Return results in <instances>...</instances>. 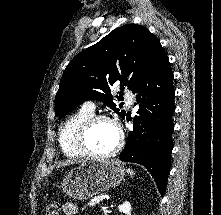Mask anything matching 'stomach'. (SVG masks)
<instances>
[{
	"label": "stomach",
	"instance_id": "obj_1",
	"mask_svg": "<svg viewBox=\"0 0 221 215\" xmlns=\"http://www.w3.org/2000/svg\"><path fill=\"white\" fill-rule=\"evenodd\" d=\"M125 170L116 160L82 162L63 179V191L77 200H86L121 183Z\"/></svg>",
	"mask_w": 221,
	"mask_h": 215
}]
</instances>
